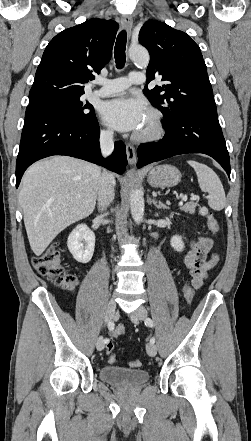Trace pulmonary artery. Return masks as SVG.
I'll return each instance as SVG.
<instances>
[{"mask_svg": "<svg viewBox=\"0 0 251 441\" xmlns=\"http://www.w3.org/2000/svg\"><path fill=\"white\" fill-rule=\"evenodd\" d=\"M96 82L102 85V88L95 90L93 94L98 96H110L126 90L132 84L144 83L145 75L142 72H131L128 77L98 79Z\"/></svg>", "mask_w": 251, "mask_h": 441, "instance_id": "e3ab8cb5", "label": "pulmonary artery"}]
</instances>
